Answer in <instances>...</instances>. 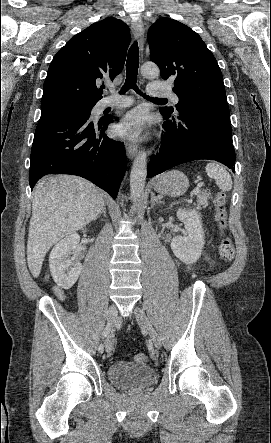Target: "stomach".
<instances>
[{
	"mask_svg": "<svg viewBox=\"0 0 271 443\" xmlns=\"http://www.w3.org/2000/svg\"><path fill=\"white\" fill-rule=\"evenodd\" d=\"M189 188V180L183 172L172 170L163 176L156 178L154 190L157 194H167V196H182Z\"/></svg>",
	"mask_w": 271,
	"mask_h": 443,
	"instance_id": "obj_1",
	"label": "stomach"
}]
</instances>
